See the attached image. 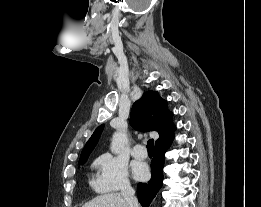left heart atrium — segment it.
<instances>
[{
	"instance_id": "1",
	"label": "left heart atrium",
	"mask_w": 261,
	"mask_h": 207,
	"mask_svg": "<svg viewBox=\"0 0 261 207\" xmlns=\"http://www.w3.org/2000/svg\"><path fill=\"white\" fill-rule=\"evenodd\" d=\"M133 173L135 178L143 179L148 173L147 166L143 163L135 162L133 164Z\"/></svg>"
}]
</instances>
